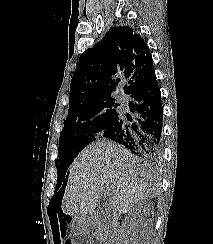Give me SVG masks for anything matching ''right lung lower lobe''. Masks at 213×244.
Here are the masks:
<instances>
[{
    "instance_id": "obj_1",
    "label": "right lung lower lobe",
    "mask_w": 213,
    "mask_h": 244,
    "mask_svg": "<svg viewBox=\"0 0 213 244\" xmlns=\"http://www.w3.org/2000/svg\"><path fill=\"white\" fill-rule=\"evenodd\" d=\"M130 96L129 107L134 114L120 113L101 135L124 145L139 157L156 162L162 152L163 108L154 70Z\"/></svg>"
}]
</instances>
